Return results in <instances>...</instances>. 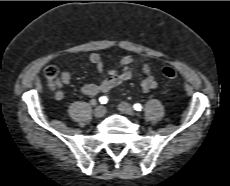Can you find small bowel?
Segmentation results:
<instances>
[{"instance_id":"c3829d8e","label":"small bowel","mask_w":230,"mask_h":186,"mask_svg":"<svg viewBox=\"0 0 230 186\" xmlns=\"http://www.w3.org/2000/svg\"><path fill=\"white\" fill-rule=\"evenodd\" d=\"M89 61L95 66L102 80L99 83H88L83 85L81 87V92L84 95L94 96L106 93L123 82L132 79L134 76L133 67L137 62L141 65L142 75L140 77V86L143 92H150L157 87V81L151 72L149 61L145 57L136 60L132 56H124L120 61V69H109L107 72L105 71L102 58L98 53H90ZM107 75L108 77H106ZM70 81V72L64 70L57 80V86L60 87L62 84H68ZM55 97L57 100H62L64 98V93L61 90H57Z\"/></svg>"}]
</instances>
